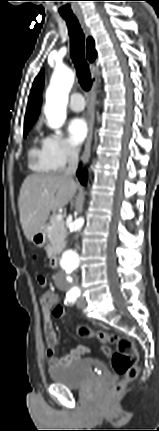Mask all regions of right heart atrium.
<instances>
[{"label": "right heart atrium", "mask_w": 159, "mask_h": 431, "mask_svg": "<svg viewBox=\"0 0 159 431\" xmlns=\"http://www.w3.org/2000/svg\"><path fill=\"white\" fill-rule=\"evenodd\" d=\"M46 161L52 171H60L77 157L76 148L65 138L48 134L42 140Z\"/></svg>", "instance_id": "obj_1"}]
</instances>
